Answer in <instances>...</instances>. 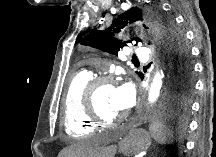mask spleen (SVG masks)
Instances as JSON below:
<instances>
[{
	"instance_id": "obj_1",
	"label": "spleen",
	"mask_w": 216,
	"mask_h": 157,
	"mask_svg": "<svg viewBox=\"0 0 216 157\" xmlns=\"http://www.w3.org/2000/svg\"><path fill=\"white\" fill-rule=\"evenodd\" d=\"M150 133L152 138L159 144H171L173 136L169 130L160 122H153L150 125Z\"/></svg>"
}]
</instances>
